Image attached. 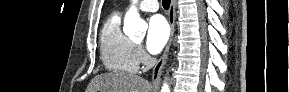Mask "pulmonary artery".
<instances>
[{
  "label": "pulmonary artery",
  "mask_w": 289,
  "mask_h": 92,
  "mask_svg": "<svg viewBox=\"0 0 289 92\" xmlns=\"http://www.w3.org/2000/svg\"><path fill=\"white\" fill-rule=\"evenodd\" d=\"M141 11L155 12L158 10L159 5L157 0H143L138 5Z\"/></svg>",
  "instance_id": "1"
}]
</instances>
